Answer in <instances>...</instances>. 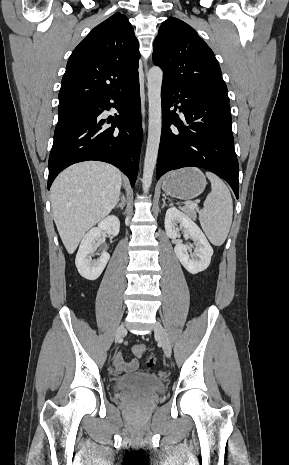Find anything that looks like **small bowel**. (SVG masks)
<instances>
[{
	"mask_svg": "<svg viewBox=\"0 0 289 465\" xmlns=\"http://www.w3.org/2000/svg\"><path fill=\"white\" fill-rule=\"evenodd\" d=\"M118 372L133 371L137 368L136 360H126L122 353H118L114 360Z\"/></svg>",
	"mask_w": 289,
	"mask_h": 465,
	"instance_id": "small-bowel-1",
	"label": "small bowel"
}]
</instances>
